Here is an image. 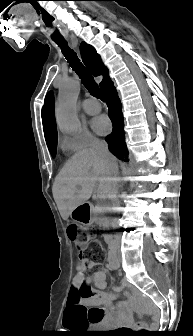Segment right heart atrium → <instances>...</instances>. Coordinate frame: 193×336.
I'll use <instances>...</instances> for the list:
<instances>
[{
	"label": "right heart atrium",
	"mask_w": 193,
	"mask_h": 336,
	"mask_svg": "<svg viewBox=\"0 0 193 336\" xmlns=\"http://www.w3.org/2000/svg\"><path fill=\"white\" fill-rule=\"evenodd\" d=\"M97 141L93 134L83 128L74 135L64 136L62 147L67 151H84Z\"/></svg>",
	"instance_id": "d8ad5b80"
}]
</instances>
